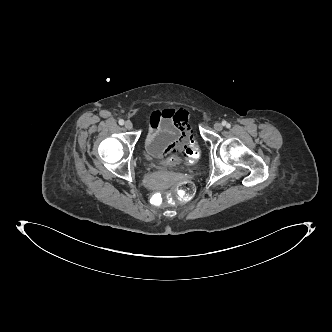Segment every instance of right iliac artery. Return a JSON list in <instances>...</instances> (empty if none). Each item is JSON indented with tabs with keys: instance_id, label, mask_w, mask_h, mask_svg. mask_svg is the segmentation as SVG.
Wrapping results in <instances>:
<instances>
[{
	"instance_id": "right-iliac-artery-1",
	"label": "right iliac artery",
	"mask_w": 332,
	"mask_h": 332,
	"mask_svg": "<svg viewBox=\"0 0 332 332\" xmlns=\"http://www.w3.org/2000/svg\"><path fill=\"white\" fill-rule=\"evenodd\" d=\"M119 124H120V125H123V124H124V120H123V119H120V120H119Z\"/></svg>"
}]
</instances>
